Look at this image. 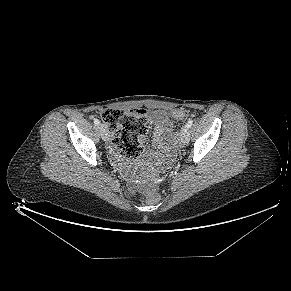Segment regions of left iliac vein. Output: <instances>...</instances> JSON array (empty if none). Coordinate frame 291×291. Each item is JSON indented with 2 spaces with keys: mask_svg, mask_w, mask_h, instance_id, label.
<instances>
[{
  "mask_svg": "<svg viewBox=\"0 0 291 291\" xmlns=\"http://www.w3.org/2000/svg\"><path fill=\"white\" fill-rule=\"evenodd\" d=\"M189 141V131L186 126H183L180 131V142L185 145Z\"/></svg>",
  "mask_w": 291,
  "mask_h": 291,
  "instance_id": "obj_1",
  "label": "left iliac vein"
}]
</instances>
